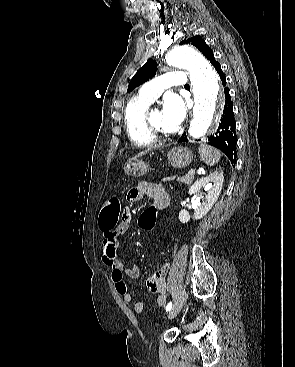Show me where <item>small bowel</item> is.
<instances>
[{"instance_id": "1", "label": "small bowel", "mask_w": 295, "mask_h": 367, "mask_svg": "<svg viewBox=\"0 0 295 367\" xmlns=\"http://www.w3.org/2000/svg\"><path fill=\"white\" fill-rule=\"evenodd\" d=\"M144 196L151 198L154 202L153 206L158 203H168L169 196L164 187L159 184L143 181L136 187L129 190L127 200L131 203L140 201ZM123 216L121 222L112 229L102 230L104 240L102 248V261L111 270V279L115 285L117 292L122 296L126 303H132L133 297L128 291L124 281V276L135 279L139 276L137 265L131 262L125 266L117 257V249L119 246V238L126 233L130 227L131 218L134 214L133 208H123ZM168 263L163 264L158 270L153 272L147 279V286L150 291L157 293V306H163L166 301V276L168 273ZM134 311L141 313L143 304L141 302L133 303Z\"/></svg>"}]
</instances>
